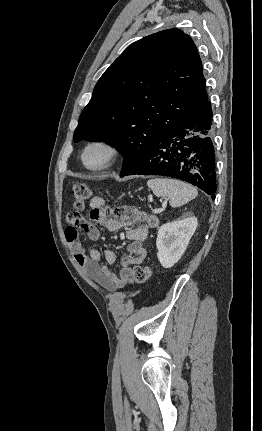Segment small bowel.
<instances>
[{
  "label": "small bowel",
  "mask_w": 262,
  "mask_h": 431,
  "mask_svg": "<svg viewBox=\"0 0 262 431\" xmlns=\"http://www.w3.org/2000/svg\"><path fill=\"white\" fill-rule=\"evenodd\" d=\"M102 197L95 196L90 199L92 219L98 225L106 227L110 231H117L125 228V237L128 241L125 253L120 257L121 271L119 274L111 272L101 261L100 252L91 248L86 253L78 242L79 229L89 233L92 237L98 236V231L92 224H84L80 220L74 223L67 217L69 226L65 230V237L71 246L76 262L80 265L85 275L92 281L110 292H117L122 289L132 275L131 265L142 262L146 256L144 241L147 239L149 230L158 225L156 217L148 216L144 212L136 209H120L115 218H109L108 212L104 209ZM106 261L110 265H116L118 261L117 253L108 249L105 251Z\"/></svg>",
  "instance_id": "1"
}]
</instances>
